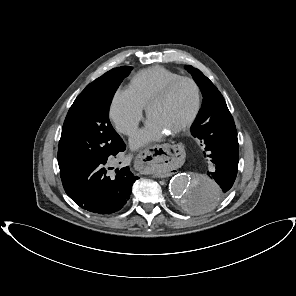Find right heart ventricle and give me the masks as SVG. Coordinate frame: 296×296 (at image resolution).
Instances as JSON below:
<instances>
[{
  "label": "right heart ventricle",
  "mask_w": 296,
  "mask_h": 296,
  "mask_svg": "<svg viewBox=\"0 0 296 296\" xmlns=\"http://www.w3.org/2000/svg\"><path fill=\"white\" fill-rule=\"evenodd\" d=\"M180 77L181 75L167 68L153 66L136 73L126 90L144 108L155 95Z\"/></svg>",
  "instance_id": "1"
}]
</instances>
